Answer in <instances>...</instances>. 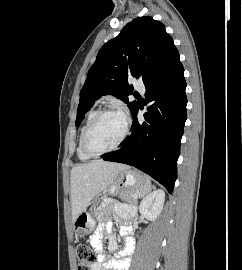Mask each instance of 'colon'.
I'll return each mask as SVG.
<instances>
[{"label": "colon", "instance_id": "5ec220e1", "mask_svg": "<svg viewBox=\"0 0 242 270\" xmlns=\"http://www.w3.org/2000/svg\"><path fill=\"white\" fill-rule=\"evenodd\" d=\"M78 270H90L95 261L94 251L86 244H81L76 248Z\"/></svg>", "mask_w": 242, "mask_h": 270}]
</instances>
